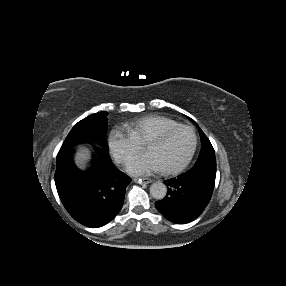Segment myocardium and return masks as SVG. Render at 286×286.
<instances>
[{
    "label": "myocardium",
    "instance_id": "1",
    "mask_svg": "<svg viewBox=\"0 0 286 286\" xmlns=\"http://www.w3.org/2000/svg\"><path fill=\"white\" fill-rule=\"evenodd\" d=\"M181 130H190L193 133V135H194L193 147H192L190 153L188 154V156L182 162H180L179 164L173 165V166L162 168V171L165 173L179 172V171L183 170L191 162V160L193 159V157L196 153L197 146H198V134H197L195 128L192 126H188V125H180L178 127L166 129V130H163L157 134H154V135L150 136L149 138H147L145 141L144 146L146 148V144H149L152 142L164 141L167 138H169L170 136L174 135L175 133H177Z\"/></svg>",
    "mask_w": 286,
    "mask_h": 286
}]
</instances>
